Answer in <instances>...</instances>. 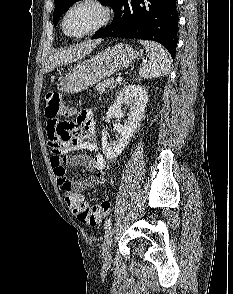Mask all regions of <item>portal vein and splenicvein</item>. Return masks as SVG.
<instances>
[{"mask_svg":"<svg viewBox=\"0 0 233 294\" xmlns=\"http://www.w3.org/2000/svg\"><path fill=\"white\" fill-rule=\"evenodd\" d=\"M116 81H122V77H121V76H118V77L116 78Z\"/></svg>","mask_w":233,"mask_h":294,"instance_id":"1","label":"portal vein and splenic vein"}]
</instances>
